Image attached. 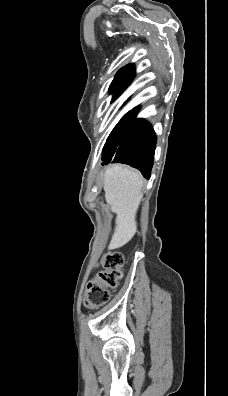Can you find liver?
I'll return each instance as SVG.
<instances>
[{"mask_svg": "<svg viewBox=\"0 0 228 396\" xmlns=\"http://www.w3.org/2000/svg\"><path fill=\"white\" fill-rule=\"evenodd\" d=\"M143 179L128 167L114 165L104 175V191L107 204L116 214L115 231L109 249L127 244L137 231L136 214L143 197Z\"/></svg>", "mask_w": 228, "mask_h": 396, "instance_id": "1", "label": "liver"}]
</instances>
